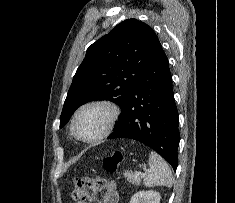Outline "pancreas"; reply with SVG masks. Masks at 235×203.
Masks as SVG:
<instances>
[{
	"label": "pancreas",
	"instance_id": "obj_1",
	"mask_svg": "<svg viewBox=\"0 0 235 203\" xmlns=\"http://www.w3.org/2000/svg\"><path fill=\"white\" fill-rule=\"evenodd\" d=\"M124 177L131 184L139 185L141 182L140 177H136L135 174H133V172H131V171H125Z\"/></svg>",
	"mask_w": 235,
	"mask_h": 203
}]
</instances>
